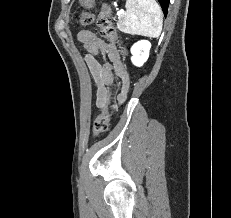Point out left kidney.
Listing matches in <instances>:
<instances>
[{
  "label": "left kidney",
  "instance_id": "1",
  "mask_svg": "<svg viewBox=\"0 0 231 218\" xmlns=\"http://www.w3.org/2000/svg\"><path fill=\"white\" fill-rule=\"evenodd\" d=\"M151 43L147 40H141L131 47V61L135 66H142L149 57Z\"/></svg>",
  "mask_w": 231,
  "mask_h": 218
}]
</instances>
